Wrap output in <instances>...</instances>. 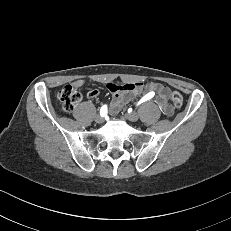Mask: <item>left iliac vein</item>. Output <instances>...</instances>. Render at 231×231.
Returning a JSON list of instances; mask_svg holds the SVG:
<instances>
[{"mask_svg":"<svg viewBox=\"0 0 231 231\" xmlns=\"http://www.w3.org/2000/svg\"><path fill=\"white\" fill-rule=\"evenodd\" d=\"M126 119L132 122H136L139 119V115L136 112H131L125 115Z\"/></svg>","mask_w":231,"mask_h":231,"instance_id":"obj_1","label":"left iliac vein"}]
</instances>
